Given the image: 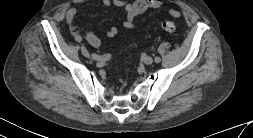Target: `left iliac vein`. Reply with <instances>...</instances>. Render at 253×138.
I'll list each match as a JSON object with an SVG mask.
<instances>
[{"mask_svg":"<svg viewBox=\"0 0 253 138\" xmlns=\"http://www.w3.org/2000/svg\"><path fill=\"white\" fill-rule=\"evenodd\" d=\"M143 62H144L145 64H147V65H150V64L153 63V59H152V57H150V56H145V57L143 58Z\"/></svg>","mask_w":253,"mask_h":138,"instance_id":"4c4485c4","label":"left iliac vein"}]
</instances>
